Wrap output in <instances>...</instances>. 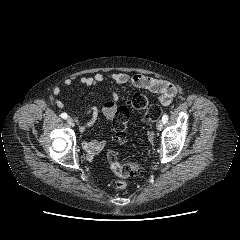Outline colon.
Returning <instances> with one entry per match:
<instances>
[{
	"mask_svg": "<svg viewBox=\"0 0 240 240\" xmlns=\"http://www.w3.org/2000/svg\"><path fill=\"white\" fill-rule=\"evenodd\" d=\"M130 106L144 110V118L147 122L157 120L161 115V109L157 105H149L148 100L142 93H134L130 99ZM130 112L128 107L121 106L117 108L115 116L113 118V126L115 129V138L119 143H123L126 139L128 132V121ZM108 164L111 170L120 178L116 182L118 189L127 188V179L134 176H143L145 174L144 169L137 163L121 164L118 161L117 155L114 151H108L106 155Z\"/></svg>",
	"mask_w": 240,
	"mask_h": 240,
	"instance_id": "obj_1",
	"label": "colon"
}]
</instances>
